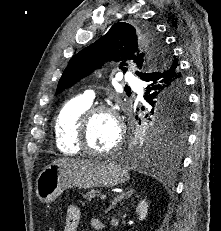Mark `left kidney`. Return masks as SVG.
I'll return each instance as SVG.
<instances>
[{
  "label": "left kidney",
  "mask_w": 221,
  "mask_h": 231,
  "mask_svg": "<svg viewBox=\"0 0 221 231\" xmlns=\"http://www.w3.org/2000/svg\"><path fill=\"white\" fill-rule=\"evenodd\" d=\"M148 203L145 200H141L138 206L136 207V213L139 216V220L143 221L146 219L148 214Z\"/></svg>",
  "instance_id": "1"
}]
</instances>
